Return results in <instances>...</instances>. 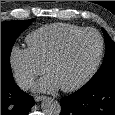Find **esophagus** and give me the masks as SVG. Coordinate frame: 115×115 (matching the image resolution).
Segmentation results:
<instances>
[{
	"label": "esophagus",
	"mask_w": 115,
	"mask_h": 115,
	"mask_svg": "<svg viewBox=\"0 0 115 115\" xmlns=\"http://www.w3.org/2000/svg\"><path fill=\"white\" fill-rule=\"evenodd\" d=\"M45 98H46L45 96H41V95H35V96H34V100H35L36 102L42 101V100H44Z\"/></svg>",
	"instance_id": "obj_1"
}]
</instances>
